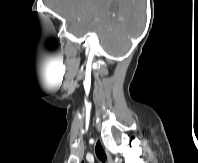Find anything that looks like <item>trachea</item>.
<instances>
[{"label": "trachea", "mask_w": 198, "mask_h": 163, "mask_svg": "<svg viewBox=\"0 0 198 163\" xmlns=\"http://www.w3.org/2000/svg\"><path fill=\"white\" fill-rule=\"evenodd\" d=\"M95 152H96V155H97L98 159L100 161H102L103 163H105V161L107 159V156H106V153H105L103 147L101 146L100 141H98L96 143Z\"/></svg>", "instance_id": "obj_1"}]
</instances>
